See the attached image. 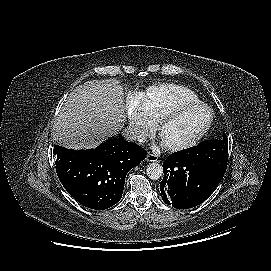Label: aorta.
Masks as SVG:
<instances>
[{"instance_id":"obj_1","label":"aorta","mask_w":271,"mask_h":271,"mask_svg":"<svg viewBox=\"0 0 271 271\" xmlns=\"http://www.w3.org/2000/svg\"><path fill=\"white\" fill-rule=\"evenodd\" d=\"M147 176L152 180H157L163 175V167L158 163H150L146 169Z\"/></svg>"}]
</instances>
